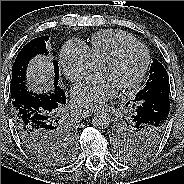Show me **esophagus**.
I'll list each match as a JSON object with an SVG mask.
<instances>
[{
	"label": "esophagus",
	"instance_id": "esophagus-1",
	"mask_svg": "<svg viewBox=\"0 0 184 184\" xmlns=\"http://www.w3.org/2000/svg\"><path fill=\"white\" fill-rule=\"evenodd\" d=\"M96 110H91V109H82V112L84 113V114H90V113H92V112H95Z\"/></svg>",
	"mask_w": 184,
	"mask_h": 184
}]
</instances>
